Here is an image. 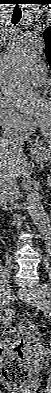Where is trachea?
I'll use <instances>...</instances> for the list:
<instances>
[{
  "label": "trachea",
  "instance_id": "obj_1",
  "mask_svg": "<svg viewBox=\"0 0 51 393\" xmlns=\"http://www.w3.org/2000/svg\"><path fill=\"white\" fill-rule=\"evenodd\" d=\"M20 19H21V14H13L12 15V19H11V22H12V24H17L19 21H20Z\"/></svg>",
  "mask_w": 51,
  "mask_h": 393
}]
</instances>
